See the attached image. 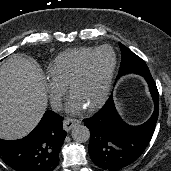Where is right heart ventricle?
<instances>
[{"label":"right heart ventricle","mask_w":171,"mask_h":171,"mask_svg":"<svg viewBox=\"0 0 171 171\" xmlns=\"http://www.w3.org/2000/svg\"><path fill=\"white\" fill-rule=\"evenodd\" d=\"M95 49L85 47L64 51L53 60L48 75L58 83L68 87L79 66Z\"/></svg>","instance_id":"obj_1"}]
</instances>
